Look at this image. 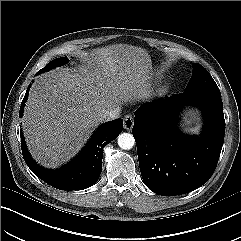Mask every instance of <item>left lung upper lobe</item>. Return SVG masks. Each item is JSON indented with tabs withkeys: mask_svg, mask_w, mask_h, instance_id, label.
I'll return each instance as SVG.
<instances>
[{
	"mask_svg": "<svg viewBox=\"0 0 241 241\" xmlns=\"http://www.w3.org/2000/svg\"><path fill=\"white\" fill-rule=\"evenodd\" d=\"M194 72L190 81L187 84L185 91H212L220 92L216 82L213 80L209 72L200 64H193Z\"/></svg>",
	"mask_w": 241,
	"mask_h": 241,
	"instance_id": "1",
	"label": "left lung upper lobe"
}]
</instances>
